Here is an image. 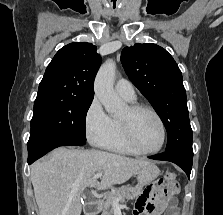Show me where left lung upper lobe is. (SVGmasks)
Here are the masks:
<instances>
[{"instance_id":"obj_1","label":"left lung upper lobe","mask_w":223,"mask_h":215,"mask_svg":"<svg viewBox=\"0 0 223 215\" xmlns=\"http://www.w3.org/2000/svg\"><path fill=\"white\" fill-rule=\"evenodd\" d=\"M121 62L163 121L168 134L166 151L192 153L186 91L172 56L156 44H135L123 49Z\"/></svg>"}]
</instances>
